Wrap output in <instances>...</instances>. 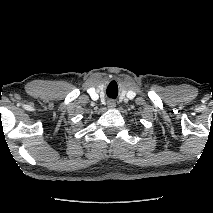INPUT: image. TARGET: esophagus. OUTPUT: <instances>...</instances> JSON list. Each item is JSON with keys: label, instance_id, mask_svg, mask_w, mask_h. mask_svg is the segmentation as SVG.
<instances>
[{"label": "esophagus", "instance_id": "obj_1", "mask_svg": "<svg viewBox=\"0 0 213 213\" xmlns=\"http://www.w3.org/2000/svg\"><path fill=\"white\" fill-rule=\"evenodd\" d=\"M108 108H115L116 107V103L113 100H109L107 103Z\"/></svg>", "mask_w": 213, "mask_h": 213}]
</instances>
